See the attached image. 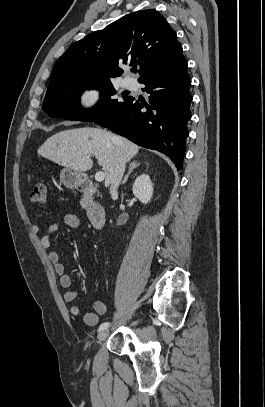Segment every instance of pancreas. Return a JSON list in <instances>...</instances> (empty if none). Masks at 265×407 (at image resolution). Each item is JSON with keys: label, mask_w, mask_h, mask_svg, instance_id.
Returning a JSON list of instances; mask_svg holds the SVG:
<instances>
[{"label": "pancreas", "mask_w": 265, "mask_h": 407, "mask_svg": "<svg viewBox=\"0 0 265 407\" xmlns=\"http://www.w3.org/2000/svg\"><path fill=\"white\" fill-rule=\"evenodd\" d=\"M86 204H87V202H86V199H85V197H84V198H82V200H81V202H80V205H81L83 208H85V207H86Z\"/></svg>", "instance_id": "1"}]
</instances>
